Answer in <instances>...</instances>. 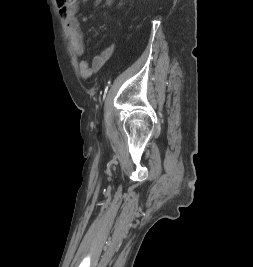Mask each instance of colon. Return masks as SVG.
Listing matches in <instances>:
<instances>
[{"instance_id":"colon-1","label":"colon","mask_w":253,"mask_h":267,"mask_svg":"<svg viewBox=\"0 0 253 267\" xmlns=\"http://www.w3.org/2000/svg\"><path fill=\"white\" fill-rule=\"evenodd\" d=\"M57 2L60 6L66 7L73 5L76 2V0H57Z\"/></svg>"}]
</instances>
